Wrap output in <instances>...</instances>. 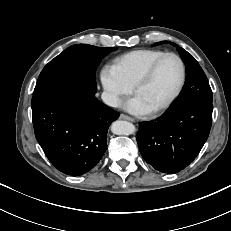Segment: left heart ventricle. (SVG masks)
<instances>
[{"instance_id":"left-heart-ventricle-1","label":"left heart ventricle","mask_w":231,"mask_h":231,"mask_svg":"<svg viewBox=\"0 0 231 231\" xmlns=\"http://www.w3.org/2000/svg\"><path fill=\"white\" fill-rule=\"evenodd\" d=\"M181 76L179 62L173 57L163 59L151 79L136 95L152 110L165 102L177 88Z\"/></svg>"}]
</instances>
